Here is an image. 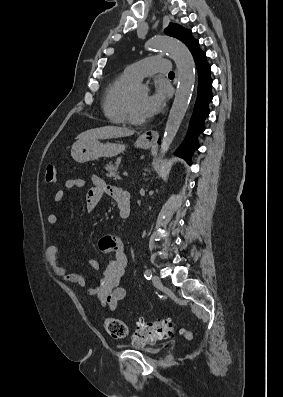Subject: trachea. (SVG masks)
<instances>
[{
  "mask_svg": "<svg viewBox=\"0 0 283 397\" xmlns=\"http://www.w3.org/2000/svg\"><path fill=\"white\" fill-rule=\"evenodd\" d=\"M168 76H169V77H174V72L171 71V72L168 74Z\"/></svg>",
  "mask_w": 283,
  "mask_h": 397,
  "instance_id": "1",
  "label": "trachea"
}]
</instances>
